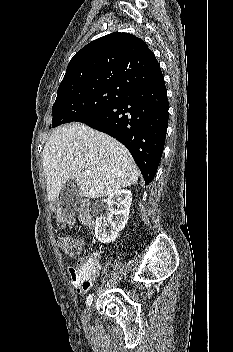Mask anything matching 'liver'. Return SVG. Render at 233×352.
<instances>
[{
    "label": "liver",
    "instance_id": "obj_1",
    "mask_svg": "<svg viewBox=\"0 0 233 352\" xmlns=\"http://www.w3.org/2000/svg\"><path fill=\"white\" fill-rule=\"evenodd\" d=\"M42 159L51 202L58 199L69 180L76 181L80 196L100 198L135 184L140 175L124 145L82 123L54 130L45 143Z\"/></svg>",
    "mask_w": 233,
    "mask_h": 352
}]
</instances>
